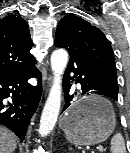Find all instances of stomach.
Instances as JSON below:
<instances>
[{
  "label": "stomach",
  "mask_w": 130,
  "mask_h": 153,
  "mask_svg": "<svg viewBox=\"0 0 130 153\" xmlns=\"http://www.w3.org/2000/svg\"><path fill=\"white\" fill-rule=\"evenodd\" d=\"M115 125L116 117L111 104L98 96L81 99L60 121L67 140L81 146L105 141Z\"/></svg>",
  "instance_id": "0dacf381"
}]
</instances>
